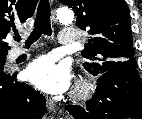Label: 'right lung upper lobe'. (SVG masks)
Listing matches in <instances>:
<instances>
[{
    "mask_svg": "<svg viewBox=\"0 0 142 119\" xmlns=\"http://www.w3.org/2000/svg\"><path fill=\"white\" fill-rule=\"evenodd\" d=\"M38 0H0V54L10 49L5 41L8 32L30 18Z\"/></svg>",
    "mask_w": 142,
    "mask_h": 119,
    "instance_id": "1",
    "label": "right lung upper lobe"
}]
</instances>
